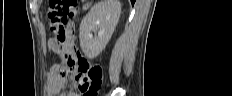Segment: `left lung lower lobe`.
I'll list each match as a JSON object with an SVG mask.
<instances>
[{
	"label": "left lung lower lobe",
	"mask_w": 232,
	"mask_h": 96,
	"mask_svg": "<svg viewBox=\"0 0 232 96\" xmlns=\"http://www.w3.org/2000/svg\"><path fill=\"white\" fill-rule=\"evenodd\" d=\"M132 4H134L135 0H131Z\"/></svg>",
	"instance_id": "1"
}]
</instances>
